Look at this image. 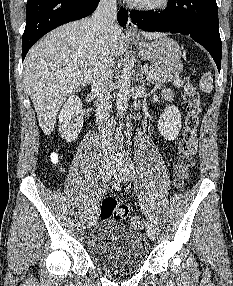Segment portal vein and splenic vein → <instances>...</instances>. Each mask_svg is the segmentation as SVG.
Instances as JSON below:
<instances>
[{
	"mask_svg": "<svg viewBox=\"0 0 233 286\" xmlns=\"http://www.w3.org/2000/svg\"><path fill=\"white\" fill-rule=\"evenodd\" d=\"M145 72H146L147 75L150 76V77H153V76H154V74H153V73H150L148 70H145Z\"/></svg>",
	"mask_w": 233,
	"mask_h": 286,
	"instance_id": "1",
	"label": "portal vein and splenic vein"
}]
</instances>
